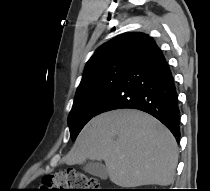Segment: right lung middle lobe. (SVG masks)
<instances>
[{
  "instance_id": "dd1d6c3e",
  "label": "right lung middle lobe",
  "mask_w": 210,
  "mask_h": 191,
  "mask_svg": "<svg viewBox=\"0 0 210 191\" xmlns=\"http://www.w3.org/2000/svg\"><path fill=\"white\" fill-rule=\"evenodd\" d=\"M130 58H117L91 72L77 88L68 116L70 135L76 139L85 124L97 115L99 107L125 71Z\"/></svg>"
}]
</instances>
